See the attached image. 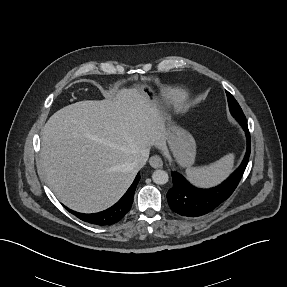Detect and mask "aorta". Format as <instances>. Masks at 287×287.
Listing matches in <instances>:
<instances>
[{"label":"aorta","instance_id":"762f6f07","mask_svg":"<svg viewBox=\"0 0 287 287\" xmlns=\"http://www.w3.org/2000/svg\"><path fill=\"white\" fill-rule=\"evenodd\" d=\"M153 182L158 185H164L168 182V173L164 170H155L152 174Z\"/></svg>","mask_w":287,"mask_h":287}]
</instances>
